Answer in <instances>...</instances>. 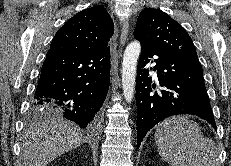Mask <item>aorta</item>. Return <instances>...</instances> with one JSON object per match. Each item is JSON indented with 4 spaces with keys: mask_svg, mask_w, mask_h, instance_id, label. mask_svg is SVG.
Returning <instances> with one entry per match:
<instances>
[{
    "mask_svg": "<svg viewBox=\"0 0 231 166\" xmlns=\"http://www.w3.org/2000/svg\"><path fill=\"white\" fill-rule=\"evenodd\" d=\"M141 52L139 41L131 42L125 49L122 63V88L125 100L131 103L134 97L136 66Z\"/></svg>",
    "mask_w": 231,
    "mask_h": 166,
    "instance_id": "aorta-1",
    "label": "aorta"
}]
</instances>
